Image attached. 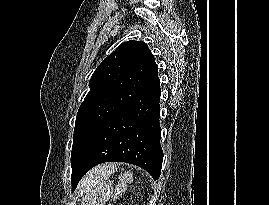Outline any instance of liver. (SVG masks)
I'll return each instance as SVG.
<instances>
[{
    "label": "liver",
    "mask_w": 269,
    "mask_h": 205,
    "mask_svg": "<svg viewBox=\"0 0 269 205\" xmlns=\"http://www.w3.org/2000/svg\"><path fill=\"white\" fill-rule=\"evenodd\" d=\"M114 168L115 166L113 164H103L92 169L82 180L79 192L84 194V192L95 186L99 181L112 172Z\"/></svg>",
    "instance_id": "obj_1"
}]
</instances>
